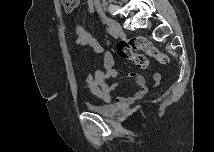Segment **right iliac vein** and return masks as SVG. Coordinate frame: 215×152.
<instances>
[{
  "label": "right iliac vein",
  "mask_w": 215,
  "mask_h": 152,
  "mask_svg": "<svg viewBox=\"0 0 215 152\" xmlns=\"http://www.w3.org/2000/svg\"><path fill=\"white\" fill-rule=\"evenodd\" d=\"M102 18H103L104 23L110 29H112L116 34L119 35V34L122 33V28H121L120 24L117 21H115V20H113L111 18L105 17V16H103Z\"/></svg>",
  "instance_id": "right-iliac-vein-1"
}]
</instances>
